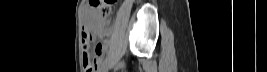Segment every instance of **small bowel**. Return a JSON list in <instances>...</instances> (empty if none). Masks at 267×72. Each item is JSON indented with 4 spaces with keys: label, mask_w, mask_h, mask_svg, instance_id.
Returning a JSON list of instances; mask_svg holds the SVG:
<instances>
[{
    "label": "small bowel",
    "mask_w": 267,
    "mask_h": 72,
    "mask_svg": "<svg viewBox=\"0 0 267 72\" xmlns=\"http://www.w3.org/2000/svg\"><path fill=\"white\" fill-rule=\"evenodd\" d=\"M96 32H97L99 37L106 38L109 35V28L107 26H100V27H98L96 29ZM89 43H90V40H89V37H88V31L85 30L84 34H83V37H82V48L84 49ZM103 54H104V45L100 44L98 46V49H97V56H96L97 65L94 68L93 72L100 71V70H96V68H97V66H101V57L103 56ZM83 62H84V58H83Z\"/></svg>",
    "instance_id": "1"
}]
</instances>
